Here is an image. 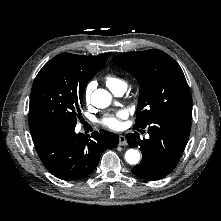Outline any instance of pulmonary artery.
Masks as SVG:
<instances>
[{
  "mask_svg": "<svg viewBox=\"0 0 221 221\" xmlns=\"http://www.w3.org/2000/svg\"><path fill=\"white\" fill-rule=\"evenodd\" d=\"M126 91V86L124 87H120L116 90L113 91V93L116 95V96H122Z\"/></svg>",
  "mask_w": 221,
  "mask_h": 221,
  "instance_id": "pulmonary-artery-1",
  "label": "pulmonary artery"
}]
</instances>
